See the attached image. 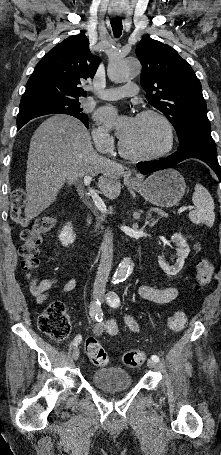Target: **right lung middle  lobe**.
<instances>
[{"label": "right lung middle lobe", "instance_id": "obj_1", "mask_svg": "<svg viewBox=\"0 0 221 455\" xmlns=\"http://www.w3.org/2000/svg\"><path fill=\"white\" fill-rule=\"evenodd\" d=\"M58 113L74 116L81 120L87 128L89 127L88 116L82 112L78 98L20 107L17 125L42 115Z\"/></svg>", "mask_w": 221, "mask_h": 455}]
</instances>
